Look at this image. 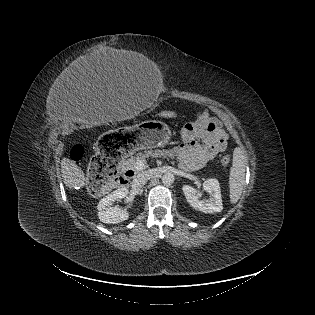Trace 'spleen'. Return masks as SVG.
<instances>
[{
  "mask_svg": "<svg viewBox=\"0 0 315 315\" xmlns=\"http://www.w3.org/2000/svg\"><path fill=\"white\" fill-rule=\"evenodd\" d=\"M246 160L243 151L236 148L229 176L230 201L235 204L240 199L245 183Z\"/></svg>",
  "mask_w": 315,
  "mask_h": 315,
  "instance_id": "3e777b00",
  "label": "spleen"
}]
</instances>
